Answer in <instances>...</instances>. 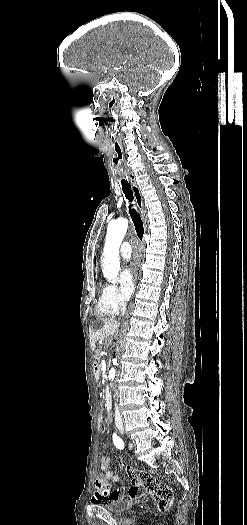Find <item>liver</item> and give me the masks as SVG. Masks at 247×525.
Returning <instances> with one entry per match:
<instances>
[{"label": "liver", "mask_w": 247, "mask_h": 525, "mask_svg": "<svg viewBox=\"0 0 247 525\" xmlns=\"http://www.w3.org/2000/svg\"><path fill=\"white\" fill-rule=\"evenodd\" d=\"M119 327L120 323H117L114 319H106V321H102V323H99L97 341H103V339H107L110 335H115V333H118Z\"/></svg>", "instance_id": "liver-1"}]
</instances>
